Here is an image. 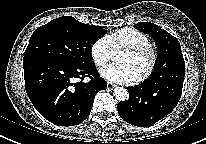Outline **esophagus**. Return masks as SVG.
Returning <instances> with one entry per match:
<instances>
[{
    "label": "esophagus",
    "instance_id": "1",
    "mask_svg": "<svg viewBox=\"0 0 206 144\" xmlns=\"http://www.w3.org/2000/svg\"><path fill=\"white\" fill-rule=\"evenodd\" d=\"M115 87H116L115 84H113V83H111V82H108V83H107V89L112 90V89H114Z\"/></svg>",
    "mask_w": 206,
    "mask_h": 144
}]
</instances>
